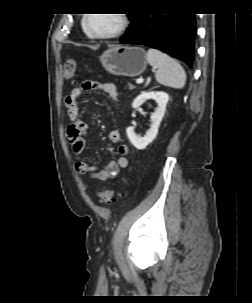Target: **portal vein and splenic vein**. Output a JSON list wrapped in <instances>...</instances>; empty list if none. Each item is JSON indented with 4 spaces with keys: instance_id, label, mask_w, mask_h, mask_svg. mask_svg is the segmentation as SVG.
<instances>
[{
    "instance_id": "18ae733b",
    "label": "portal vein and splenic vein",
    "mask_w": 252,
    "mask_h": 303,
    "mask_svg": "<svg viewBox=\"0 0 252 303\" xmlns=\"http://www.w3.org/2000/svg\"><path fill=\"white\" fill-rule=\"evenodd\" d=\"M143 81H144L143 78H138V79L136 80V83H137V84H141V83H143Z\"/></svg>"
}]
</instances>
